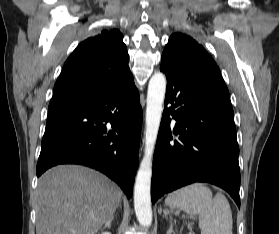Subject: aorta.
<instances>
[{
	"instance_id": "1",
	"label": "aorta",
	"mask_w": 279,
	"mask_h": 234,
	"mask_svg": "<svg viewBox=\"0 0 279 234\" xmlns=\"http://www.w3.org/2000/svg\"><path fill=\"white\" fill-rule=\"evenodd\" d=\"M165 92V75L160 72L154 73L149 80L147 92L144 156L140 163L134 186L135 213L137 220L142 226H150L152 222L150 196L152 163L161 122Z\"/></svg>"
}]
</instances>
